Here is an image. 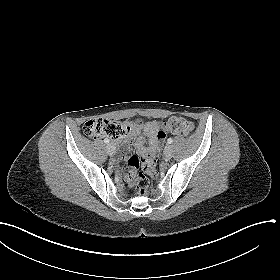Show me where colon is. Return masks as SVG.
<instances>
[{"label": "colon", "mask_w": 280, "mask_h": 280, "mask_svg": "<svg viewBox=\"0 0 280 280\" xmlns=\"http://www.w3.org/2000/svg\"><path fill=\"white\" fill-rule=\"evenodd\" d=\"M164 129L176 135L186 136L193 130V124L185 118L174 116L164 122ZM83 132L94 139L103 136L116 138L123 133V126L116 121L95 118L84 124ZM155 164V158L150 153L144 154L140 158L133 156L128 161L129 169L126 179L136 185L141 196H145L147 193V175L155 174Z\"/></svg>", "instance_id": "obj_1"}]
</instances>
